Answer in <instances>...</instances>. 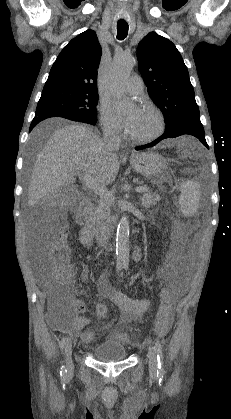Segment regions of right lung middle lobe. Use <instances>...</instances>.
Here are the masks:
<instances>
[{
	"instance_id": "right-lung-middle-lobe-1",
	"label": "right lung middle lobe",
	"mask_w": 231,
	"mask_h": 419,
	"mask_svg": "<svg viewBox=\"0 0 231 419\" xmlns=\"http://www.w3.org/2000/svg\"><path fill=\"white\" fill-rule=\"evenodd\" d=\"M98 92L62 86L44 87L35 118L63 117L90 124L97 122Z\"/></svg>"
}]
</instances>
